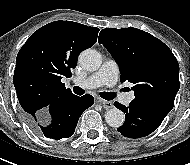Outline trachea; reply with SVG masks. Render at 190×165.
Instances as JSON below:
<instances>
[{
	"label": "trachea",
	"instance_id": "1",
	"mask_svg": "<svg viewBox=\"0 0 190 165\" xmlns=\"http://www.w3.org/2000/svg\"><path fill=\"white\" fill-rule=\"evenodd\" d=\"M73 91L77 95H83L85 93V91L78 86H74ZM100 96L105 100H112L115 98V93H113V92H100Z\"/></svg>",
	"mask_w": 190,
	"mask_h": 165
}]
</instances>
